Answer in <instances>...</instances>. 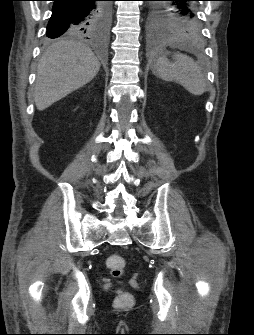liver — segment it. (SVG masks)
<instances>
[{
    "mask_svg": "<svg viewBox=\"0 0 254 335\" xmlns=\"http://www.w3.org/2000/svg\"><path fill=\"white\" fill-rule=\"evenodd\" d=\"M100 62L84 43L60 40L41 56L37 67L34 101L43 111L71 92L89 83Z\"/></svg>",
    "mask_w": 254,
    "mask_h": 335,
    "instance_id": "liver-1",
    "label": "liver"
}]
</instances>
